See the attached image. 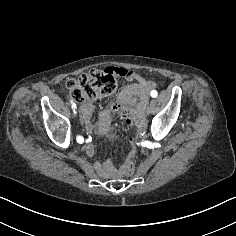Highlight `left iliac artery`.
<instances>
[{
  "mask_svg": "<svg viewBox=\"0 0 236 236\" xmlns=\"http://www.w3.org/2000/svg\"><path fill=\"white\" fill-rule=\"evenodd\" d=\"M150 95H151L153 98H156L157 95H158V93H157L156 90H152L151 93H150Z\"/></svg>",
  "mask_w": 236,
  "mask_h": 236,
  "instance_id": "left-iliac-artery-1",
  "label": "left iliac artery"
}]
</instances>
